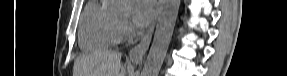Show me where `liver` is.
Listing matches in <instances>:
<instances>
[{
	"mask_svg": "<svg viewBox=\"0 0 287 76\" xmlns=\"http://www.w3.org/2000/svg\"><path fill=\"white\" fill-rule=\"evenodd\" d=\"M121 57L108 50L80 56L74 63V76H120Z\"/></svg>",
	"mask_w": 287,
	"mask_h": 76,
	"instance_id": "obj_1",
	"label": "liver"
}]
</instances>
